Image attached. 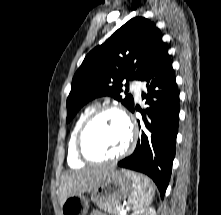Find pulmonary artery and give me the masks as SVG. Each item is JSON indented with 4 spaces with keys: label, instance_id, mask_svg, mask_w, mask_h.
I'll use <instances>...</instances> for the list:
<instances>
[{
    "label": "pulmonary artery",
    "instance_id": "obj_1",
    "mask_svg": "<svg viewBox=\"0 0 221 215\" xmlns=\"http://www.w3.org/2000/svg\"><path fill=\"white\" fill-rule=\"evenodd\" d=\"M132 88L135 93L137 99L141 98V91H142V83L140 81H134L132 83Z\"/></svg>",
    "mask_w": 221,
    "mask_h": 215
}]
</instances>
